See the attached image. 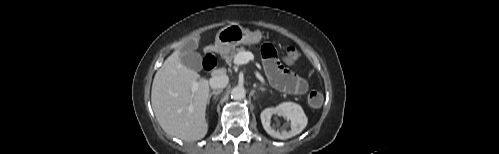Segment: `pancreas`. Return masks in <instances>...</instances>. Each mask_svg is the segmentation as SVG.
<instances>
[{
	"label": "pancreas",
	"mask_w": 499,
	"mask_h": 154,
	"mask_svg": "<svg viewBox=\"0 0 499 154\" xmlns=\"http://www.w3.org/2000/svg\"><path fill=\"white\" fill-rule=\"evenodd\" d=\"M244 51H245L244 47L223 49L221 51V56L225 59L227 63H231L236 54Z\"/></svg>",
	"instance_id": "pancreas-1"
}]
</instances>
